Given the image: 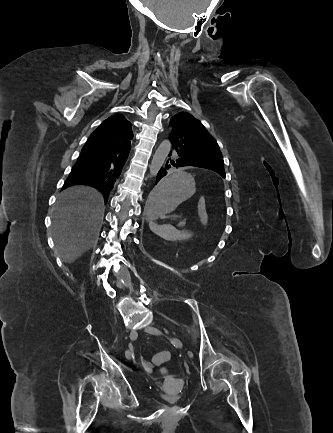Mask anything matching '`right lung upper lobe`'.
I'll return each mask as SVG.
<instances>
[{
  "instance_id": "cb5924a9",
  "label": "right lung upper lobe",
  "mask_w": 333,
  "mask_h": 433,
  "mask_svg": "<svg viewBox=\"0 0 333 433\" xmlns=\"http://www.w3.org/2000/svg\"><path fill=\"white\" fill-rule=\"evenodd\" d=\"M131 125L123 115L112 116L103 121L88 140H95L94 146L99 150L124 148L133 138Z\"/></svg>"
}]
</instances>
